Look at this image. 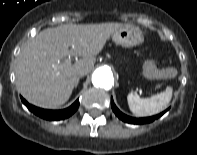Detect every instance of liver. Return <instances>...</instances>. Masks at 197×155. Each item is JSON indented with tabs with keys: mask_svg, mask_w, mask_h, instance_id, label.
Listing matches in <instances>:
<instances>
[{
	"mask_svg": "<svg viewBox=\"0 0 197 155\" xmlns=\"http://www.w3.org/2000/svg\"><path fill=\"white\" fill-rule=\"evenodd\" d=\"M120 23L76 25L47 28L22 48L16 64V86L31 104L57 108L68 101L78 79L77 72L89 73L96 55ZM81 57L74 64L62 63L66 56Z\"/></svg>",
	"mask_w": 197,
	"mask_h": 155,
	"instance_id": "1",
	"label": "liver"
}]
</instances>
